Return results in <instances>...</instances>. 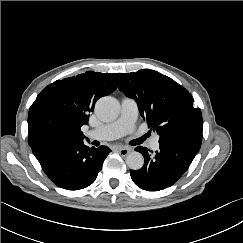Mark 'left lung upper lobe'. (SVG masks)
Wrapping results in <instances>:
<instances>
[{
  "label": "left lung upper lobe",
  "instance_id": "obj_1",
  "mask_svg": "<svg viewBox=\"0 0 243 243\" xmlns=\"http://www.w3.org/2000/svg\"><path fill=\"white\" fill-rule=\"evenodd\" d=\"M119 90L133 98L159 143L184 134L202 136L201 110L191 94L173 79L153 70L123 73Z\"/></svg>",
  "mask_w": 243,
  "mask_h": 243
}]
</instances>
